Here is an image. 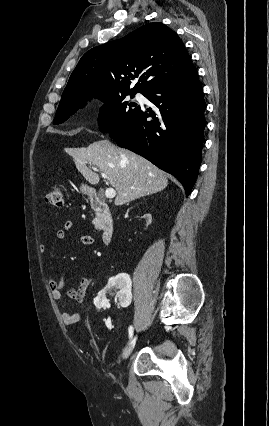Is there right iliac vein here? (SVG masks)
Wrapping results in <instances>:
<instances>
[{
    "label": "right iliac vein",
    "mask_w": 269,
    "mask_h": 426,
    "mask_svg": "<svg viewBox=\"0 0 269 426\" xmlns=\"http://www.w3.org/2000/svg\"><path fill=\"white\" fill-rule=\"evenodd\" d=\"M136 340H137V338L134 337L131 340V342L128 344V346L125 348V350L123 352V359H127L131 355V353H132V351H133V349L135 347Z\"/></svg>",
    "instance_id": "63e3f726"
}]
</instances>
